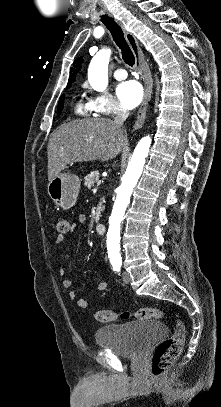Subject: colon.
<instances>
[{"instance_id": "1", "label": "colon", "mask_w": 221, "mask_h": 407, "mask_svg": "<svg viewBox=\"0 0 221 407\" xmlns=\"http://www.w3.org/2000/svg\"><path fill=\"white\" fill-rule=\"evenodd\" d=\"M59 235H66L69 232V222L67 218H59L56 225ZM131 316L138 320L162 319L164 313L157 308H140L134 313L129 311L117 312L113 309L99 310L95 318L102 323H112L118 320L129 319ZM186 329L180 321L175 322L174 334L172 337L165 339L155 349L152 359L151 372L154 376L163 375L180 355L184 342Z\"/></svg>"}]
</instances>
